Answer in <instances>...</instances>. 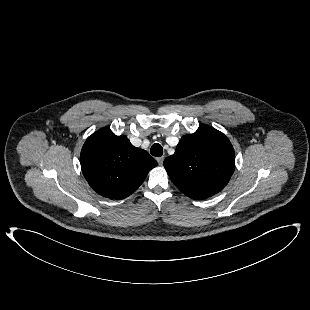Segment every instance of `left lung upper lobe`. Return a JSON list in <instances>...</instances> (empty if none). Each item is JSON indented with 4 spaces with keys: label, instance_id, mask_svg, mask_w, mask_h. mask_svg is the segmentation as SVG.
<instances>
[{
    "label": "left lung upper lobe",
    "instance_id": "5c2ea615",
    "mask_svg": "<svg viewBox=\"0 0 310 310\" xmlns=\"http://www.w3.org/2000/svg\"><path fill=\"white\" fill-rule=\"evenodd\" d=\"M171 181L186 196L202 200L220 192L235 169V154L220 131L202 125L181 138L176 151L163 163Z\"/></svg>",
    "mask_w": 310,
    "mask_h": 310
}]
</instances>
